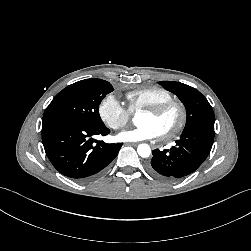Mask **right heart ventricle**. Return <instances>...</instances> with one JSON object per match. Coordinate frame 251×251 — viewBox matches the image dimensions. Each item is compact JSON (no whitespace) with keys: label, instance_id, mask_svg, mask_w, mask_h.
<instances>
[{"label":"right heart ventricle","instance_id":"right-heart-ventricle-1","mask_svg":"<svg viewBox=\"0 0 251 251\" xmlns=\"http://www.w3.org/2000/svg\"><path fill=\"white\" fill-rule=\"evenodd\" d=\"M128 109L136 112L174 99L172 92L162 87H148L126 94Z\"/></svg>","mask_w":251,"mask_h":251}]
</instances>
